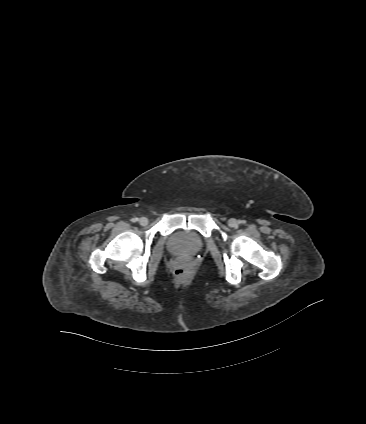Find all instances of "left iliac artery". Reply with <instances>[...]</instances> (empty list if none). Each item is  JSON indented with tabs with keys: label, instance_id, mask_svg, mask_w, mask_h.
I'll return each mask as SVG.
<instances>
[{
	"label": "left iliac artery",
	"instance_id": "1",
	"mask_svg": "<svg viewBox=\"0 0 366 424\" xmlns=\"http://www.w3.org/2000/svg\"><path fill=\"white\" fill-rule=\"evenodd\" d=\"M245 221H240V223H244Z\"/></svg>",
	"mask_w": 366,
	"mask_h": 424
}]
</instances>
